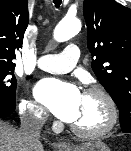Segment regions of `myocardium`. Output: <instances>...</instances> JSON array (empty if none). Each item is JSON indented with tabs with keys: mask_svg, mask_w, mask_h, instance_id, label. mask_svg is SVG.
<instances>
[{
	"mask_svg": "<svg viewBox=\"0 0 131 151\" xmlns=\"http://www.w3.org/2000/svg\"><path fill=\"white\" fill-rule=\"evenodd\" d=\"M84 94L91 95V96H98L104 101L108 111L107 122L101 128L92 129V130L82 129L71 124L70 125L71 131L77 136L82 138H99L107 135L114 129L118 121L119 113L115 100L113 99V97L110 95L109 92H107L105 89L99 86H92L87 88Z\"/></svg>",
	"mask_w": 131,
	"mask_h": 151,
	"instance_id": "f54148a6",
	"label": "myocardium"
}]
</instances>
